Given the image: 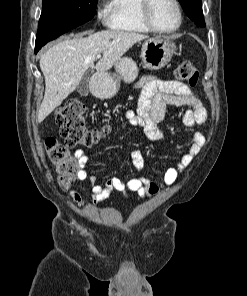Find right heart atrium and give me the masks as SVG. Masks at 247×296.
I'll return each mask as SVG.
<instances>
[{"mask_svg": "<svg viewBox=\"0 0 247 296\" xmlns=\"http://www.w3.org/2000/svg\"><path fill=\"white\" fill-rule=\"evenodd\" d=\"M96 18L103 24H109L111 20V11L104 0L97 1Z\"/></svg>", "mask_w": 247, "mask_h": 296, "instance_id": "d8ad5b80", "label": "right heart atrium"}]
</instances>
